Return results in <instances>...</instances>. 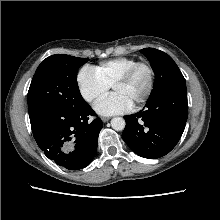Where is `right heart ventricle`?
I'll return each instance as SVG.
<instances>
[{"instance_id": "1", "label": "right heart ventricle", "mask_w": 220, "mask_h": 220, "mask_svg": "<svg viewBox=\"0 0 220 220\" xmlns=\"http://www.w3.org/2000/svg\"><path fill=\"white\" fill-rule=\"evenodd\" d=\"M138 62L135 58L117 57L94 66L95 74L109 87L120 78L131 66Z\"/></svg>"}]
</instances>
